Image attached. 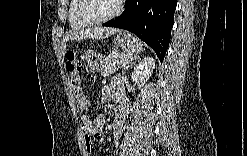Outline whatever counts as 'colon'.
I'll use <instances>...</instances> for the list:
<instances>
[{
	"instance_id": "colon-1",
	"label": "colon",
	"mask_w": 247,
	"mask_h": 156,
	"mask_svg": "<svg viewBox=\"0 0 247 156\" xmlns=\"http://www.w3.org/2000/svg\"><path fill=\"white\" fill-rule=\"evenodd\" d=\"M92 112H99L100 108L99 107H92L91 108ZM89 112H90V107H89ZM85 120L83 122V129H84V134L86 137L90 139H96L100 136V129L98 127H94L97 124L98 117L95 116L94 113H91L90 116H86Z\"/></svg>"
}]
</instances>
